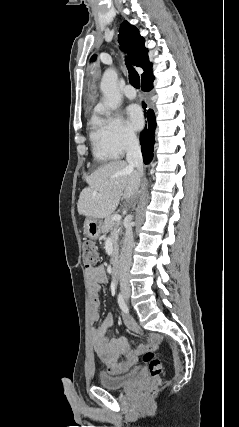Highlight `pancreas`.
<instances>
[{"label": "pancreas", "mask_w": 239, "mask_h": 427, "mask_svg": "<svg viewBox=\"0 0 239 427\" xmlns=\"http://www.w3.org/2000/svg\"><path fill=\"white\" fill-rule=\"evenodd\" d=\"M114 224H115V221L113 220V216H110V217L106 218L104 220L103 225H102V232L103 233L109 232L113 228ZM120 234H121V229L120 228L119 229H115L114 232H113L114 251L112 253L111 260H110L111 264L115 263V261L117 259V256H118L117 240H118V236Z\"/></svg>", "instance_id": "obj_1"}]
</instances>
